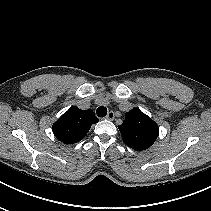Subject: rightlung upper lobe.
Returning <instances> with one entry per match:
<instances>
[{"label":"right lung upper lobe","mask_w":211,"mask_h":211,"mask_svg":"<svg viewBox=\"0 0 211 211\" xmlns=\"http://www.w3.org/2000/svg\"><path fill=\"white\" fill-rule=\"evenodd\" d=\"M98 121L92 110H81L77 106H72L53 124L52 129L59 141L74 144L82 140L91 125Z\"/></svg>","instance_id":"obj_1"}]
</instances>
